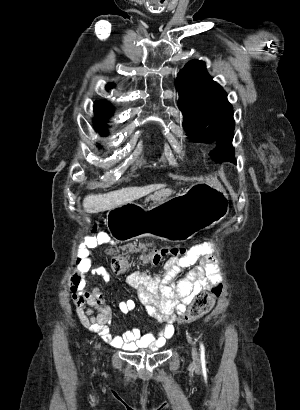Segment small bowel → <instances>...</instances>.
<instances>
[{
  "label": "small bowel",
  "instance_id": "c3829d8e",
  "mask_svg": "<svg viewBox=\"0 0 300 410\" xmlns=\"http://www.w3.org/2000/svg\"><path fill=\"white\" fill-rule=\"evenodd\" d=\"M107 241L108 236L101 233L88 238L79 246V254L83 257L81 269L105 282L110 280V275L105 267L94 264L90 251ZM184 269L188 271L180 277ZM219 280L217 259L213 254V246L208 243L195 244L185 256L168 259L162 276L150 275L141 270L129 273L126 282L138 291L139 300L147 314L159 324L156 331L144 334L133 328L121 335H113L110 330L112 308L104 300L99 287L89 288L88 278L72 294V299L81 323L99 334L109 345L129 351L139 348L155 350L164 346L173 335L174 317L185 310L197 293ZM135 307L136 303L132 299L118 303V310L122 314L131 312Z\"/></svg>",
  "mask_w": 300,
  "mask_h": 410
}]
</instances>
